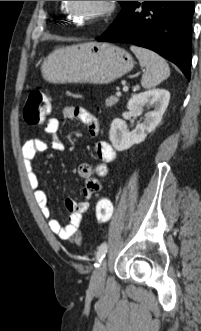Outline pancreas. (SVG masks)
<instances>
[{"label":"pancreas","instance_id":"cf45deb5","mask_svg":"<svg viewBox=\"0 0 201 331\" xmlns=\"http://www.w3.org/2000/svg\"><path fill=\"white\" fill-rule=\"evenodd\" d=\"M119 101V96H110L109 98L106 99L105 105L106 107H111L114 104H116Z\"/></svg>","mask_w":201,"mask_h":331}]
</instances>
